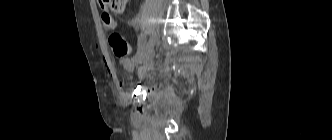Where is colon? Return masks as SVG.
<instances>
[{
  "label": "colon",
  "instance_id": "colon-1",
  "mask_svg": "<svg viewBox=\"0 0 332 140\" xmlns=\"http://www.w3.org/2000/svg\"><path fill=\"white\" fill-rule=\"evenodd\" d=\"M128 0H98L103 9H108L113 12H121L124 10ZM101 24L106 31H113L116 27V21L108 12L101 15ZM109 43L113 53L117 57H125L130 53V46L117 33H113L109 38Z\"/></svg>",
  "mask_w": 332,
  "mask_h": 140
}]
</instances>
